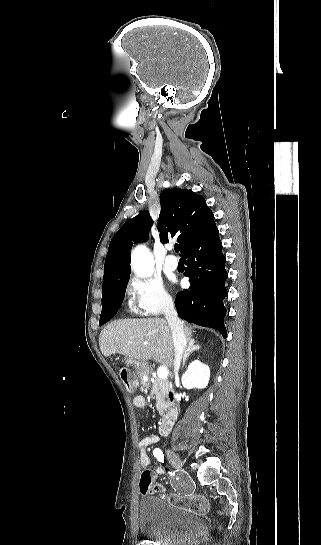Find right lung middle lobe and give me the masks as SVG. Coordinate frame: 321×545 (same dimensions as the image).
Masks as SVG:
<instances>
[{"label":"right lung middle lobe","mask_w":321,"mask_h":545,"mask_svg":"<svg viewBox=\"0 0 321 545\" xmlns=\"http://www.w3.org/2000/svg\"><path fill=\"white\" fill-rule=\"evenodd\" d=\"M129 276H127L119 285H117L116 287L112 288V289H108V290H103V295H102V312H101V316H100V321H99V325H103L104 323H106V320H105V315H104V307H105V303L106 301L108 300V298L110 296H113V295H116V296H119V295H123L125 293V289H126V286H127V282L129 280Z\"/></svg>","instance_id":"dd1d6c3e"}]
</instances>
